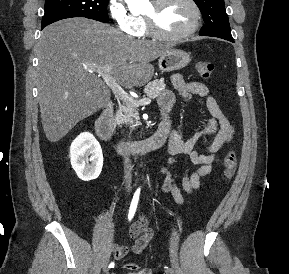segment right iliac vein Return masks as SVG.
I'll use <instances>...</instances> for the list:
<instances>
[{
	"label": "right iliac vein",
	"instance_id": "1",
	"mask_svg": "<svg viewBox=\"0 0 289 274\" xmlns=\"http://www.w3.org/2000/svg\"><path fill=\"white\" fill-rule=\"evenodd\" d=\"M104 272L107 274L108 273V268L107 267H104Z\"/></svg>",
	"mask_w": 289,
	"mask_h": 274
}]
</instances>
